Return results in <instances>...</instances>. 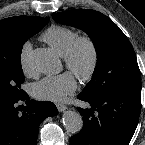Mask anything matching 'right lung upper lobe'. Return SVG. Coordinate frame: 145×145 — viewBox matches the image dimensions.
<instances>
[{
    "label": "right lung upper lobe",
    "instance_id": "cb5924a9",
    "mask_svg": "<svg viewBox=\"0 0 145 145\" xmlns=\"http://www.w3.org/2000/svg\"><path fill=\"white\" fill-rule=\"evenodd\" d=\"M31 18L29 16H16L0 20V57H7L12 52V47L8 43L6 37L12 32L13 29L22 25Z\"/></svg>",
    "mask_w": 145,
    "mask_h": 145
}]
</instances>
